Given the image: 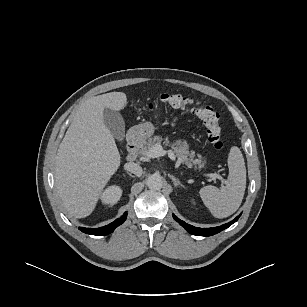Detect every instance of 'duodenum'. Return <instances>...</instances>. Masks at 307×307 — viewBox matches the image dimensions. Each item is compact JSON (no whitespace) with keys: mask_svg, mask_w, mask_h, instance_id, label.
<instances>
[{"mask_svg":"<svg viewBox=\"0 0 307 307\" xmlns=\"http://www.w3.org/2000/svg\"><path fill=\"white\" fill-rule=\"evenodd\" d=\"M141 137L138 133H132L127 141L126 160L132 162L137 157V152L140 147Z\"/></svg>","mask_w":307,"mask_h":307,"instance_id":"1","label":"duodenum"}]
</instances>
